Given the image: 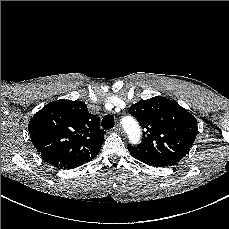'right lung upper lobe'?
I'll return each mask as SVG.
<instances>
[{"instance_id": "1", "label": "right lung upper lobe", "mask_w": 229, "mask_h": 229, "mask_svg": "<svg viewBox=\"0 0 229 229\" xmlns=\"http://www.w3.org/2000/svg\"><path fill=\"white\" fill-rule=\"evenodd\" d=\"M33 145L47 163L71 169L97 156L105 131L98 116L81 101L58 100L39 110L30 120Z\"/></svg>"}]
</instances>
